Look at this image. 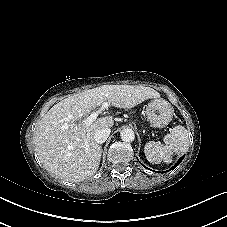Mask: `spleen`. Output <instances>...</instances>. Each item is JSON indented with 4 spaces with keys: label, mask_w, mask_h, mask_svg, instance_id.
Wrapping results in <instances>:
<instances>
[{
    "label": "spleen",
    "mask_w": 227,
    "mask_h": 227,
    "mask_svg": "<svg viewBox=\"0 0 227 227\" xmlns=\"http://www.w3.org/2000/svg\"><path fill=\"white\" fill-rule=\"evenodd\" d=\"M164 144L149 141L145 144L144 153L146 159L153 164L172 162V155L184 153L188 149V131L184 126H175L170 133L164 137Z\"/></svg>",
    "instance_id": "obj_1"
}]
</instances>
